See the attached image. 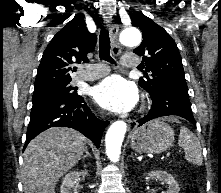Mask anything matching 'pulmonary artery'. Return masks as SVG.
I'll use <instances>...</instances> for the list:
<instances>
[{
    "label": "pulmonary artery",
    "mask_w": 221,
    "mask_h": 193,
    "mask_svg": "<svg viewBox=\"0 0 221 193\" xmlns=\"http://www.w3.org/2000/svg\"><path fill=\"white\" fill-rule=\"evenodd\" d=\"M123 66L127 68H132L139 63V58L136 55H124L121 60ZM94 70H87L79 74L74 78L73 82H84V81H93L99 78L106 76L110 70L108 66L102 64H96L93 66Z\"/></svg>",
    "instance_id": "pulmonary-artery-1"
}]
</instances>
